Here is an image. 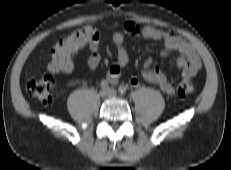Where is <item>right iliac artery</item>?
Returning <instances> with one entry per match:
<instances>
[{
	"instance_id": "1",
	"label": "right iliac artery",
	"mask_w": 231,
	"mask_h": 170,
	"mask_svg": "<svg viewBox=\"0 0 231 170\" xmlns=\"http://www.w3.org/2000/svg\"><path fill=\"white\" fill-rule=\"evenodd\" d=\"M101 87H102L103 89H107V88L109 87L108 82L105 81V80H103V81L101 82Z\"/></svg>"
}]
</instances>
